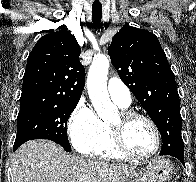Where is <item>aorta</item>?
<instances>
[{
    "instance_id": "1",
    "label": "aorta",
    "mask_w": 196,
    "mask_h": 182,
    "mask_svg": "<svg viewBox=\"0 0 196 182\" xmlns=\"http://www.w3.org/2000/svg\"><path fill=\"white\" fill-rule=\"evenodd\" d=\"M109 60L105 55H96L89 68L87 89L97 115L104 121L109 120L116 112L117 107L111 102L107 90V74Z\"/></svg>"
}]
</instances>
